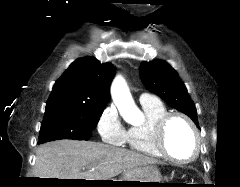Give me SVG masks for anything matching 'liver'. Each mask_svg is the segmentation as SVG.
Returning <instances> with one entry per match:
<instances>
[{
	"mask_svg": "<svg viewBox=\"0 0 240 187\" xmlns=\"http://www.w3.org/2000/svg\"><path fill=\"white\" fill-rule=\"evenodd\" d=\"M158 161L99 142L58 140L36 151L35 178L110 180L122 172Z\"/></svg>",
	"mask_w": 240,
	"mask_h": 187,
	"instance_id": "liver-1",
	"label": "liver"
}]
</instances>
